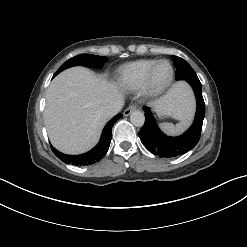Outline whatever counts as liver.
<instances>
[{"label": "liver", "instance_id": "1", "mask_svg": "<svg viewBox=\"0 0 247 247\" xmlns=\"http://www.w3.org/2000/svg\"><path fill=\"white\" fill-rule=\"evenodd\" d=\"M123 96L115 84L96 76L84 67L60 73L49 85L44 120L51 143L67 154H80L99 140L108 118L104 110ZM157 110H167L172 118H192L194 101L185 83H175L153 102Z\"/></svg>", "mask_w": 247, "mask_h": 247}]
</instances>
